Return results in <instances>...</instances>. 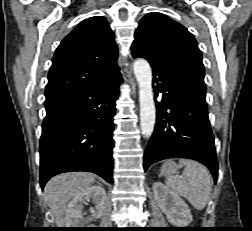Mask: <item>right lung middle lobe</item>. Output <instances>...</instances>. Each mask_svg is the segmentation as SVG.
Here are the masks:
<instances>
[{"label":"right lung middle lobe","mask_w":252,"mask_h":231,"mask_svg":"<svg viewBox=\"0 0 252 231\" xmlns=\"http://www.w3.org/2000/svg\"><path fill=\"white\" fill-rule=\"evenodd\" d=\"M56 104H45L46 110L54 107Z\"/></svg>","instance_id":"obj_1"}]
</instances>
